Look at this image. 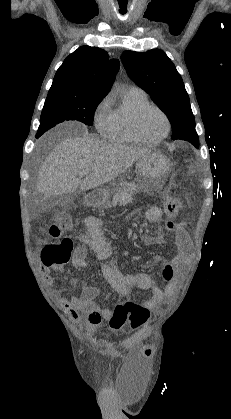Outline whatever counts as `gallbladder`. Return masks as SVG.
Here are the masks:
<instances>
[{
	"mask_svg": "<svg viewBox=\"0 0 231 419\" xmlns=\"http://www.w3.org/2000/svg\"><path fill=\"white\" fill-rule=\"evenodd\" d=\"M48 201L51 205L67 207L72 203V197L71 195H63L61 197H50Z\"/></svg>",
	"mask_w": 231,
	"mask_h": 419,
	"instance_id": "obj_1",
	"label": "gallbladder"
}]
</instances>
